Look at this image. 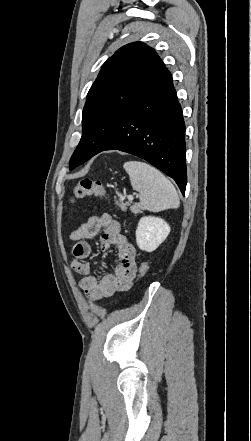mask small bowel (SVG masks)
<instances>
[{"label":"small bowel","instance_id":"small-bowel-1","mask_svg":"<svg viewBox=\"0 0 251 441\" xmlns=\"http://www.w3.org/2000/svg\"><path fill=\"white\" fill-rule=\"evenodd\" d=\"M101 230L103 234L100 247L103 251L115 248L117 263L114 273L98 277L93 273L91 263L87 261L92 253L88 240L98 235ZM69 238L75 242L71 267L82 276L79 286L90 300L108 298L130 287L137 270L136 250L129 238L122 232L119 222L110 214L90 216L70 233Z\"/></svg>","mask_w":251,"mask_h":441}]
</instances>
